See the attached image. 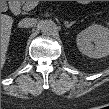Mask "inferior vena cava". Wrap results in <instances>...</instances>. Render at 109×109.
<instances>
[{
  "mask_svg": "<svg viewBox=\"0 0 109 109\" xmlns=\"http://www.w3.org/2000/svg\"><path fill=\"white\" fill-rule=\"evenodd\" d=\"M35 24H36V19L24 18L19 22L18 26L21 28H29V27H33Z\"/></svg>",
  "mask_w": 109,
  "mask_h": 109,
  "instance_id": "602c4592",
  "label": "inferior vena cava"
}]
</instances>
